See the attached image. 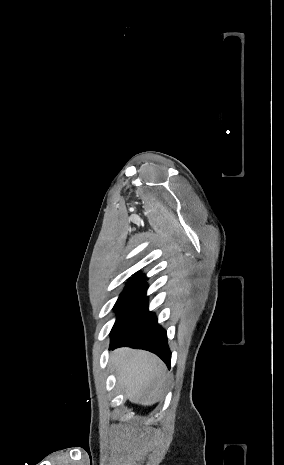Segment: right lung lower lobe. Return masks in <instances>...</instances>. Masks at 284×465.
Instances as JSON below:
<instances>
[{
	"label": "right lung lower lobe",
	"instance_id": "98d812e1",
	"mask_svg": "<svg viewBox=\"0 0 284 465\" xmlns=\"http://www.w3.org/2000/svg\"><path fill=\"white\" fill-rule=\"evenodd\" d=\"M144 297L132 311L115 323L111 331L110 349L122 346L144 349L155 353L170 368L171 352L166 331L158 325L154 313L148 311Z\"/></svg>",
	"mask_w": 284,
	"mask_h": 465
}]
</instances>
